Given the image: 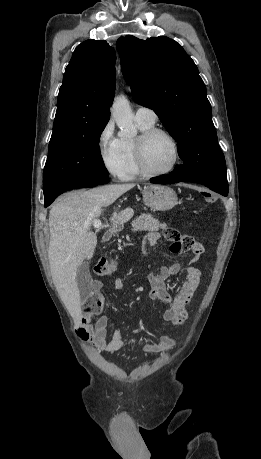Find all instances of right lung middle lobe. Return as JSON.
Masks as SVG:
<instances>
[{
	"mask_svg": "<svg viewBox=\"0 0 261 459\" xmlns=\"http://www.w3.org/2000/svg\"><path fill=\"white\" fill-rule=\"evenodd\" d=\"M107 122L51 137L43 173L44 198L74 183L108 178L98 145Z\"/></svg>",
	"mask_w": 261,
	"mask_h": 459,
	"instance_id": "right-lung-middle-lobe-1",
	"label": "right lung middle lobe"
}]
</instances>
